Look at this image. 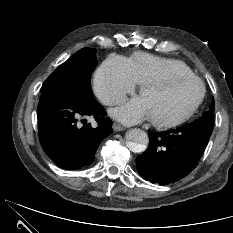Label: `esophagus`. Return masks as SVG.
Segmentation results:
<instances>
[{
	"label": "esophagus",
	"mask_w": 233,
	"mask_h": 233,
	"mask_svg": "<svg viewBox=\"0 0 233 233\" xmlns=\"http://www.w3.org/2000/svg\"><path fill=\"white\" fill-rule=\"evenodd\" d=\"M113 130L118 132V131H123L125 128L123 126H121L120 124L118 123H114L113 126H112Z\"/></svg>",
	"instance_id": "esophagus-1"
}]
</instances>
